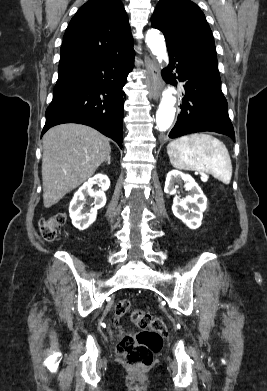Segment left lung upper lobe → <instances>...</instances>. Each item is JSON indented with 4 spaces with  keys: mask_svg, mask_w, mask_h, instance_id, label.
I'll return each instance as SVG.
<instances>
[{
    "mask_svg": "<svg viewBox=\"0 0 267 391\" xmlns=\"http://www.w3.org/2000/svg\"><path fill=\"white\" fill-rule=\"evenodd\" d=\"M152 27L163 32L166 44L217 63L211 29L201 9L189 0H159Z\"/></svg>",
    "mask_w": 267,
    "mask_h": 391,
    "instance_id": "1",
    "label": "left lung upper lobe"
}]
</instances>
